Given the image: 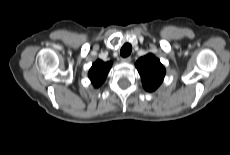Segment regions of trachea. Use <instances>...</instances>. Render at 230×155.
Listing matches in <instances>:
<instances>
[{
  "label": "trachea",
  "mask_w": 230,
  "mask_h": 155,
  "mask_svg": "<svg viewBox=\"0 0 230 155\" xmlns=\"http://www.w3.org/2000/svg\"><path fill=\"white\" fill-rule=\"evenodd\" d=\"M131 52H132V46L129 43H126L122 46L120 50V55L122 57H127L131 54Z\"/></svg>",
  "instance_id": "1"
}]
</instances>
